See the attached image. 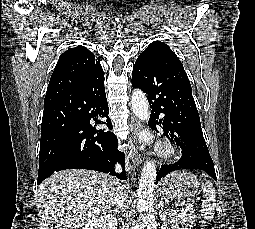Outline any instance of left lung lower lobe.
Listing matches in <instances>:
<instances>
[{"label":"left lung lower lobe","instance_id":"obj_1","mask_svg":"<svg viewBox=\"0 0 255 229\" xmlns=\"http://www.w3.org/2000/svg\"><path fill=\"white\" fill-rule=\"evenodd\" d=\"M132 86L147 94L151 108L149 126L155 130L160 126L164 136L182 149L183 156L178 162L161 166L156 183L178 169L203 170L216 180L191 84L180 60L171 54L138 57Z\"/></svg>","mask_w":255,"mask_h":229}]
</instances>
